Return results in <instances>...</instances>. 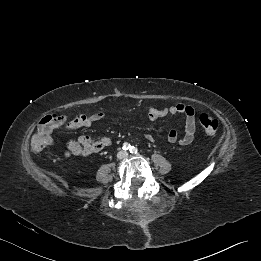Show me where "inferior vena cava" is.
I'll use <instances>...</instances> for the list:
<instances>
[{"instance_id": "602c4592", "label": "inferior vena cava", "mask_w": 261, "mask_h": 261, "mask_svg": "<svg viewBox=\"0 0 261 261\" xmlns=\"http://www.w3.org/2000/svg\"><path fill=\"white\" fill-rule=\"evenodd\" d=\"M126 156H127V153L124 152V151H120V152L117 153V158H118V159H123V158H125Z\"/></svg>"}]
</instances>
